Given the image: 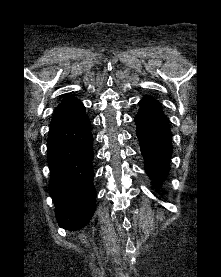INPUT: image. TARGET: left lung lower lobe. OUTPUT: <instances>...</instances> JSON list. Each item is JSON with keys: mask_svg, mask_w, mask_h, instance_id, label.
Instances as JSON below:
<instances>
[{"mask_svg": "<svg viewBox=\"0 0 221 277\" xmlns=\"http://www.w3.org/2000/svg\"><path fill=\"white\" fill-rule=\"evenodd\" d=\"M135 116L136 135L139 138L145 171L158 186L167 176L172 155L171 130L161 104L147 96L140 100Z\"/></svg>", "mask_w": 221, "mask_h": 277, "instance_id": "1", "label": "left lung lower lobe"}]
</instances>
